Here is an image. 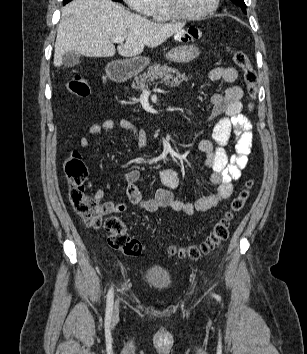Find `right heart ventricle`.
Returning <instances> with one entry per match:
<instances>
[{"mask_svg": "<svg viewBox=\"0 0 307 354\" xmlns=\"http://www.w3.org/2000/svg\"><path fill=\"white\" fill-rule=\"evenodd\" d=\"M149 16L157 22H166L172 19L165 7L164 0H156L154 8Z\"/></svg>", "mask_w": 307, "mask_h": 354, "instance_id": "obj_1", "label": "right heart ventricle"}]
</instances>
